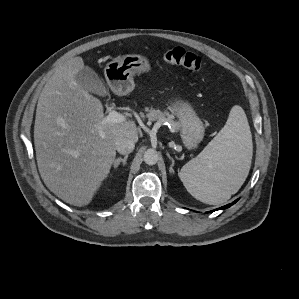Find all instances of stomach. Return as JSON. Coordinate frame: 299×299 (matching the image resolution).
Here are the masks:
<instances>
[{"label":"stomach","instance_id":"0dacf381","mask_svg":"<svg viewBox=\"0 0 299 299\" xmlns=\"http://www.w3.org/2000/svg\"><path fill=\"white\" fill-rule=\"evenodd\" d=\"M150 70L149 60L140 54H127L107 63L104 75L109 87L118 95H126L134 89L133 77ZM169 110L180 123V137L189 149H195L204 137V126L192 106L182 100L169 105Z\"/></svg>","mask_w":299,"mask_h":299}]
</instances>
